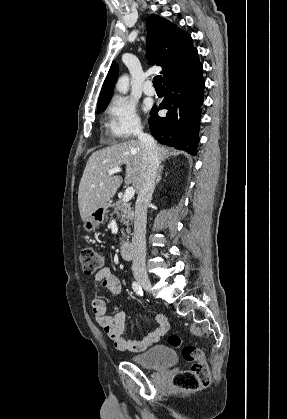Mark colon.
Returning a JSON list of instances; mask_svg holds the SVG:
<instances>
[{
  "label": "colon",
  "instance_id": "colon-1",
  "mask_svg": "<svg viewBox=\"0 0 287 419\" xmlns=\"http://www.w3.org/2000/svg\"><path fill=\"white\" fill-rule=\"evenodd\" d=\"M80 261L84 273L92 275L104 268L105 256L93 247H85L80 253ZM168 343L175 348L182 347L184 360L191 363L190 369L179 371L172 376V385L188 390L206 387L209 383L210 371L203 351L195 345L183 344L181 337L174 334L168 337Z\"/></svg>",
  "mask_w": 287,
  "mask_h": 419
}]
</instances>
